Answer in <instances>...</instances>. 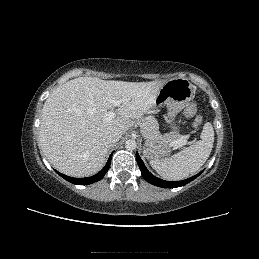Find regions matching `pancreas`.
Masks as SVG:
<instances>
[{"mask_svg":"<svg viewBox=\"0 0 259 259\" xmlns=\"http://www.w3.org/2000/svg\"><path fill=\"white\" fill-rule=\"evenodd\" d=\"M138 124L140 126L142 135L145 137V139L151 142H174L182 138L177 133L161 135L159 132V124L152 116L138 120Z\"/></svg>","mask_w":259,"mask_h":259,"instance_id":"1","label":"pancreas"}]
</instances>
